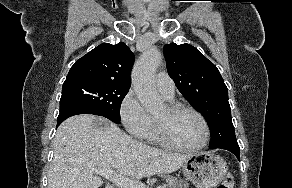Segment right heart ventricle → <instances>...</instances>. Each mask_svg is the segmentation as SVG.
<instances>
[{"instance_id":"obj_1","label":"right heart ventricle","mask_w":292,"mask_h":188,"mask_svg":"<svg viewBox=\"0 0 292 188\" xmlns=\"http://www.w3.org/2000/svg\"><path fill=\"white\" fill-rule=\"evenodd\" d=\"M146 138L152 143H160V140H159L157 132H156V127H155L154 121H153L152 128H151V130Z\"/></svg>"}]
</instances>
